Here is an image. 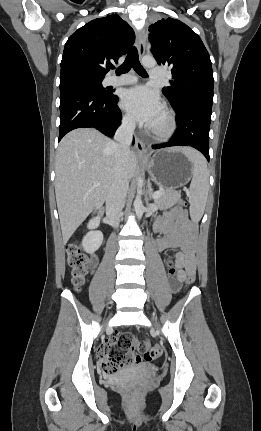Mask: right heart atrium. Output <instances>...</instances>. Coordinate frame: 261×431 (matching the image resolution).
<instances>
[{
  "mask_svg": "<svg viewBox=\"0 0 261 431\" xmlns=\"http://www.w3.org/2000/svg\"><path fill=\"white\" fill-rule=\"evenodd\" d=\"M122 124H123L125 127H131V126H132V120L130 119V117H129V116L124 115V116H123V118H122Z\"/></svg>",
  "mask_w": 261,
  "mask_h": 431,
  "instance_id": "obj_1",
  "label": "right heart atrium"
}]
</instances>
